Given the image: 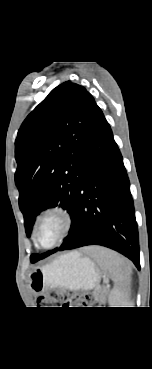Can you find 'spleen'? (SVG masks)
Returning a JSON list of instances; mask_svg holds the SVG:
<instances>
[{"label": "spleen", "mask_w": 152, "mask_h": 369, "mask_svg": "<svg viewBox=\"0 0 152 369\" xmlns=\"http://www.w3.org/2000/svg\"><path fill=\"white\" fill-rule=\"evenodd\" d=\"M94 257L100 266L108 271L114 281L115 289L120 292L122 298H125L131 272L129 263L118 253L104 248H97L94 251Z\"/></svg>", "instance_id": "spleen-1"}]
</instances>
